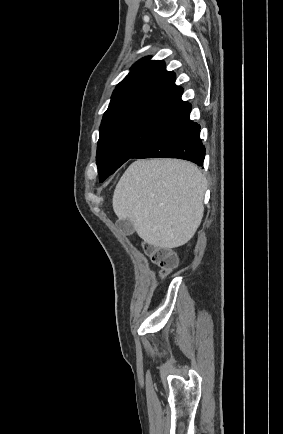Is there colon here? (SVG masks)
<instances>
[{
	"mask_svg": "<svg viewBox=\"0 0 283 434\" xmlns=\"http://www.w3.org/2000/svg\"><path fill=\"white\" fill-rule=\"evenodd\" d=\"M146 252L152 263L160 268L161 277L168 275L177 264L176 255L170 249L147 245Z\"/></svg>",
	"mask_w": 283,
	"mask_h": 434,
	"instance_id": "colon-1",
	"label": "colon"
}]
</instances>
